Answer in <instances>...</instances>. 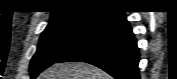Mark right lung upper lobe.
<instances>
[{"label":"right lung upper lobe","instance_id":"right-lung-upper-lobe-1","mask_svg":"<svg viewBox=\"0 0 177 79\" xmlns=\"http://www.w3.org/2000/svg\"><path fill=\"white\" fill-rule=\"evenodd\" d=\"M113 12L100 0H72L64 2L57 10L52 12L50 23L82 19L91 16H101Z\"/></svg>","mask_w":177,"mask_h":79}]
</instances>
